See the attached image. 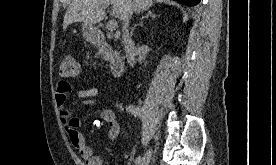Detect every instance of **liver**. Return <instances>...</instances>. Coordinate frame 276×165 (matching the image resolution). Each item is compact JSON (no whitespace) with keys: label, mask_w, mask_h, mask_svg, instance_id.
Masks as SVG:
<instances>
[{"label":"liver","mask_w":276,"mask_h":165,"mask_svg":"<svg viewBox=\"0 0 276 165\" xmlns=\"http://www.w3.org/2000/svg\"><path fill=\"white\" fill-rule=\"evenodd\" d=\"M131 2L132 11L140 13L153 5V0H127ZM126 0H73L66 10L63 29L75 22L93 25L102 21L106 8L112 5V16L122 20Z\"/></svg>","instance_id":"obj_1"}]
</instances>
